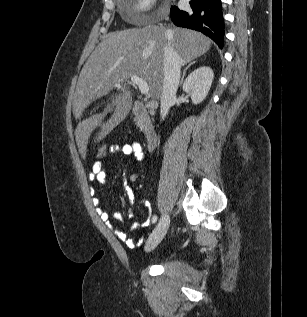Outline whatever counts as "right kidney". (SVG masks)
<instances>
[{
  "label": "right kidney",
  "mask_w": 307,
  "mask_h": 317,
  "mask_svg": "<svg viewBox=\"0 0 307 317\" xmlns=\"http://www.w3.org/2000/svg\"><path fill=\"white\" fill-rule=\"evenodd\" d=\"M213 78L214 73L210 67H199L188 75L183 83V91L188 93L191 96L192 102L197 105L206 98Z\"/></svg>",
  "instance_id": "ca27d5eb"
}]
</instances>
